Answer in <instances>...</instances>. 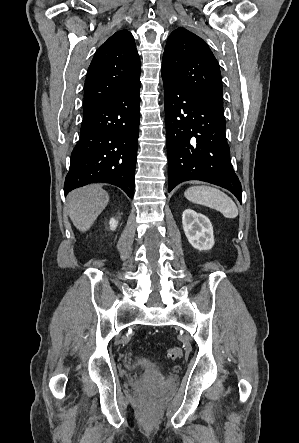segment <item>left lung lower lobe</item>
I'll list each match as a JSON object with an SVG mask.
<instances>
[{"label":"left lung lower lobe","mask_w":299,"mask_h":443,"mask_svg":"<svg viewBox=\"0 0 299 443\" xmlns=\"http://www.w3.org/2000/svg\"><path fill=\"white\" fill-rule=\"evenodd\" d=\"M168 154V191L187 180L209 182L232 192L242 188L230 162L224 110L163 74Z\"/></svg>","instance_id":"left-lung-lower-lobe-1"}]
</instances>
